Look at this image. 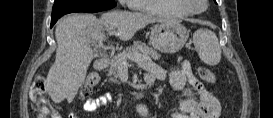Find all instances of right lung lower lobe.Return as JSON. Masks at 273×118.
<instances>
[{"label": "right lung lower lobe", "instance_id": "1", "mask_svg": "<svg viewBox=\"0 0 273 118\" xmlns=\"http://www.w3.org/2000/svg\"><path fill=\"white\" fill-rule=\"evenodd\" d=\"M73 12H89V11H84V10H80V9H76V8H70L67 6H60L58 8H53L52 18H51V27L57 22V20L61 16L65 15V14L73 13Z\"/></svg>", "mask_w": 273, "mask_h": 118}]
</instances>
